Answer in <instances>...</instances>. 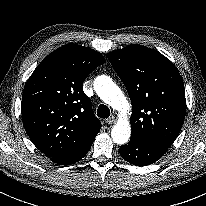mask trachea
<instances>
[{"label": "trachea", "mask_w": 206, "mask_h": 206, "mask_svg": "<svg viewBox=\"0 0 206 206\" xmlns=\"http://www.w3.org/2000/svg\"><path fill=\"white\" fill-rule=\"evenodd\" d=\"M97 116L103 119L108 118L110 116V109L104 104L99 105Z\"/></svg>", "instance_id": "1"}]
</instances>
